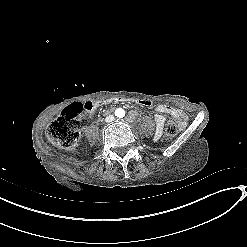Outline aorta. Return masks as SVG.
Listing matches in <instances>:
<instances>
[{
	"label": "aorta",
	"mask_w": 247,
	"mask_h": 247,
	"mask_svg": "<svg viewBox=\"0 0 247 247\" xmlns=\"http://www.w3.org/2000/svg\"><path fill=\"white\" fill-rule=\"evenodd\" d=\"M115 115H116L117 117H119V118H122V117H124L125 112H124L123 109L119 108V109H116Z\"/></svg>",
	"instance_id": "obj_1"
}]
</instances>
